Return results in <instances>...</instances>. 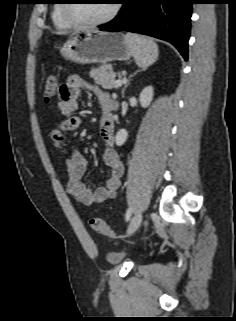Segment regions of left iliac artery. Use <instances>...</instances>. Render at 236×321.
Segmentation results:
<instances>
[{"label": "left iliac artery", "instance_id": "44dca946", "mask_svg": "<svg viewBox=\"0 0 236 321\" xmlns=\"http://www.w3.org/2000/svg\"><path fill=\"white\" fill-rule=\"evenodd\" d=\"M131 214H132V210H131V208H129L126 212V215H125L126 221H128L130 219Z\"/></svg>", "mask_w": 236, "mask_h": 321}]
</instances>
